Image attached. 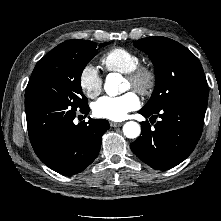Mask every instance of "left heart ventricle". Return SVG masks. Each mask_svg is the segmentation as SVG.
Listing matches in <instances>:
<instances>
[{"instance_id":"b2bd125f","label":"left heart ventricle","mask_w":221,"mask_h":221,"mask_svg":"<svg viewBox=\"0 0 221 221\" xmlns=\"http://www.w3.org/2000/svg\"><path fill=\"white\" fill-rule=\"evenodd\" d=\"M125 86H126V89H129L131 87L130 83L127 80L125 81Z\"/></svg>"}]
</instances>
